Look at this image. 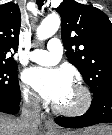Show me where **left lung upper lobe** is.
Returning <instances> with one entry per match:
<instances>
[{
  "mask_svg": "<svg viewBox=\"0 0 112 135\" xmlns=\"http://www.w3.org/2000/svg\"><path fill=\"white\" fill-rule=\"evenodd\" d=\"M61 37L68 61L82 74L94 96L112 91V24L91 5L63 0Z\"/></svg>",
  "mask_w": 112,
  "mask_h": 135,
  "instance_id": "obj_1",
  "label": "left lung upper lobe"
}]
</instances>
